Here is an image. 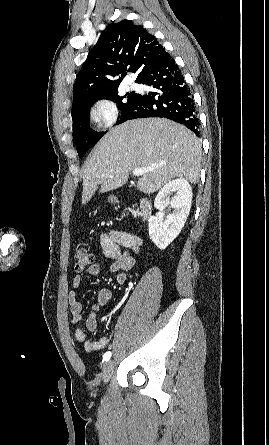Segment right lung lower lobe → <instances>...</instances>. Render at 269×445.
I'll list each match as a JSON object with an SVG mask.
<instances>
[{
  "mask_svg": "<svg viewBox=\"0 0 269 445\" xmlns=\"http://www.w3.org/2000/svg\"><path fill=\"white\" fill-rule=\"evenodd\" d=\"M137 83L152 86L156 91L139 94L126 120L165 117L183 124L197 136L200 135V123L192 93L170 55L147 70Z\"/></svg>",
  "mask_w": 269,
  "mask_h": 445,
  "instance_id": "right-lung-lower-lobe-1",
  "label": "right lung lower lobe"
}]
</instances>
